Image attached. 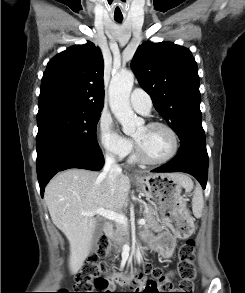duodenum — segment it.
<instances>
[{"mask_svg": "<svg viewBox=\"0 0 245 293\" xmlns=\"http://www.w3.org/2000/svg\"><path fill=\"white\" fill-rule=\"evenodd\" d=\"M104 233L108 236L113 234V225L110 223H106L104 226Z\"/></svg>", "mask_w": 245, "mask_h": 293, "instance_id": "duodenum-1", "label": "duodenum"}]
</instances>
